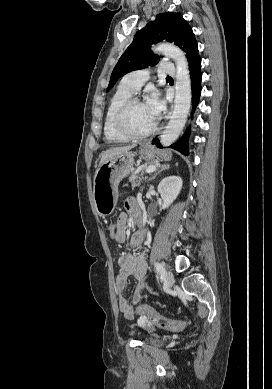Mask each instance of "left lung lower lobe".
I'll list each match as a JSON object with an SVG mask.
<instances>
[{
    "label": "left lung lower lobe",
    "instance_id": "left-lung-lower-lobe-1",
    "mask_svg": "<svg viewBox=\"0 0 272 389\" xmlns=\"http://www.w3.org/2000/svg\"><path fill=\"white\" fill-rule=\"evenodd\" d=\"M189 61V70H190V78H191V88H192V103L193 110L198 104L199 97L201 94V58L198 52V46L192 51L191 55L188 58ZM189 137V129L185 132V134L173 145L170 147L178 150L179 152L188 155L187 142ZM152 144L156 145L159 148H162L161 144L158 142V139L155 138Z\"/></svg>",
    "mask_w": 272,
    "mask_h": 389
}]
</instances>
